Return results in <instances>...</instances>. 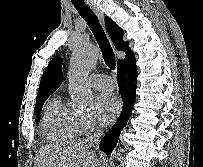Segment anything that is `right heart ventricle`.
Masks as SVG:
<instances>
[{
  "label": "right heart ventricle",
  "mask_w": 203,
  "mask_h": 167,
  "mask_svg": "<svg viewBox=\"0 0 203 167\" xmlns=\"http://www.w3.org/2000/svg\"><path fill=\"white\" fill-rule=\"evenodd\" d=\"M42 132L49 142L72 141L79 133L77 113L64 105L59 97L53 98L44 111Z\"/></svg>",
  "instance_id": "e07e8e85"
}]
</instances>
